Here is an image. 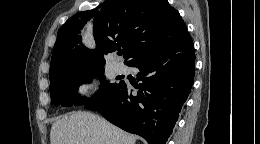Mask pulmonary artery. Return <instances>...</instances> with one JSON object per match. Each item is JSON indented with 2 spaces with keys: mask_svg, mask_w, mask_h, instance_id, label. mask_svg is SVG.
Returning <instances> with one entry per match:
<instances>
[{
  "mask_svg": "<svg viewBox=\"0 0 260 144\" xmlns=\"http://www.w3.org/2000/svg\"><path fill=\"white\" fill-rule=\"evenodd\" d=\"M115 70H116L117 72H119V73L124 72V71H125V66L122 65V64H116V65H115Z\"/></svg>",
  "mask_w": 260,
  "mask_h": 144,
  "instance_id": "obj_1",
  "label": "pulmonary artery"
}]
</instances>
